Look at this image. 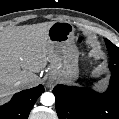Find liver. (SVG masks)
<instances>
[{
    "mask_svg": "<svg viewBox=\"0 0 119 119\" xmlns=\"http://www.w3.org/2000/svg\"><path fill=\"white\" fill-rule=\"evenodd\" d=\"M53 22L6 30L0 33V103L15 92V82L21 77L33 86L49 61L48 30Z\"/></svg>",
    "mask_w": 119,
    "mask_h": 119,
    "instance_id": "obj_1",
    "label": "liver"
}]
</instances>
